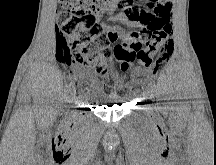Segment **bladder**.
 I'll list each match as a JSON object with an SVG mask.
<instances>
[{"instance_id": "1", "label": "bladder", "mask_w": 216, "mask_h": 165, "mask_svg": "<svg viewBox=\"0 0 216 165\" xmlns=\"http://www.w3.org/2000/svg\"><path fill=\"white\" fill-rule=\"evenodd\" d=\"M104 86H116V81H104Z\"/></svg>"}]
</instances>
